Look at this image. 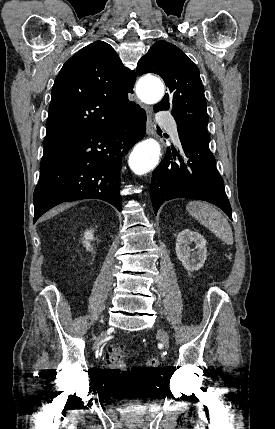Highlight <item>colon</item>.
I'll list each match as a JSON object with an SVG mask.
<instances>
[{"instance_id": "colon-1", "label": "colon", "mask_w": 275, "mask_h": 429, "mask_svg": "<svg viewBox=\"0 0 275 429\" xmlns=\"http://www.w3.org/2000/svg\"><path fill=\"white\" fill-rule=\"evenodd\" d=\"M123 358L124 351L121 346L112 348L108 353V362L118 376H125V374L127 373V369L125 368L123 363ZM148 364L153 368H158L160 362L158 359L153 358L149 360Z\"/></svg>"}]
</instances>
